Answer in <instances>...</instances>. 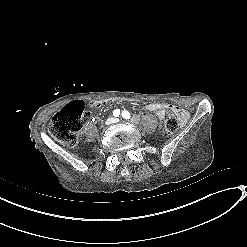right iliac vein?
Masks as SVG:
<instances>
[{
    "instance_id": "right-iliac-vein-1",
    "label": "right iliac vein",
    "mask_w": 247,
    "mask_h": 247,
    "mask_svg": "<svg viewBox=\"0 0 247 247\" xmlns=\"http://www.w3.org/2000/svg\"><path fill=\"white\" fill-rule=\"evenodd\" d=\"M114 122V119L113 118H109L107 121H106V125H110Z\"/></svg>"
}]
</instances>
